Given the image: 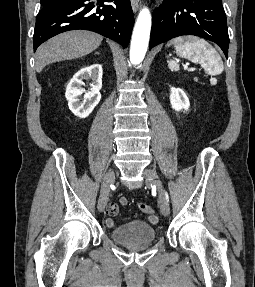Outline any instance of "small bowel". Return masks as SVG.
I'll list each match as a JSON object with an SVG mask.
<instances>
[{
  "label": "small bowel",
  "mask_w": 255,
  "mask_h": 287,
  "mask_svg": "<svg viewBox=\"0 0 255 287\" xmlns=\"http://www.w3.org/2000/svg\"><path fill=\"white\" fill-rule=\"evenodd\" d=\"M121 205H126L128 203V199L125 197H121L119 200ZM118 213V205L116 203H110L107 207V215L108 218L106 220V225L109 228H114L116 226V222L114 220V217ZM148 222L152 225H156L158 223V217L156 215H149L148 216Z\"/></svg>",
  "instance_id": "small-bowel-1"
}]
</instances>
